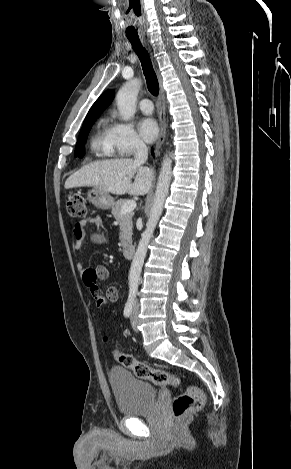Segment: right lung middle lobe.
I'll return each mask as SVG.
<instances>
[{"label":"right lung middle lobe","mask_w":291,"mask_h":469,"mask_svg":"<svg viewBox=\"0 0 291 469\" xmlns=\"http://www.w3.org/2000/svg\"><path fill=\"white\" fill-rule=\"evenodd\" d=\"M96 118H86L82 125L78 141L75 148V156L82 158L84 156V143Z\"/></svg>","instance_id":"dd1d6c3e"}]
</instances>
